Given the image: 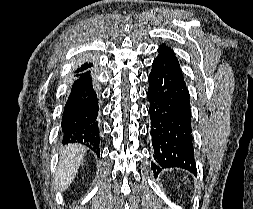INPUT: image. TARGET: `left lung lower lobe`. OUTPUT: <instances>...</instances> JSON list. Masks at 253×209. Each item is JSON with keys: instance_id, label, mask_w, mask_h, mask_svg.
I'll use <instances>...</instances> for the list:
<instances>
[{"instance_id": "left-lung-lower-lobe-1", "label": "left lung lower lobe", "mask_w": 253, "mask_h": 209, "mask_svg": "<svg viewBox=\"0 0 253 209\" xmlns=\"http://www.w3.org/2000/svg\"><path fill=\"white\" fill-rule=\"evenodd\" d=\"M148 83L150 135L158 163L151 162L153 172L158 174L161 166L196 174L189 93L181 69L155 59Z\"/></svg>"}]
</instances>
